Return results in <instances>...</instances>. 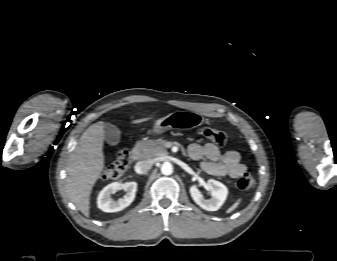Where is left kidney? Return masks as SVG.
<instances>
[{
    "mask_svg": "<svg viewBox=\"0 0 337 261\" xmlns=\"http://www.w3.org/2000/svg\"><path fill=\"white\" fill-rule=\"evenodd\" d=\"M207 187L211 192V199H205L196 185L191 186L190 195L194 202L207 211H216L224 203L228 195L227 187L219 181L209 179Z\"/></svg>",
    "mask_w": 337,
    "mask_h": 261,
    "instance_id": "left-kidney-1",
    "label": "left kidney"
}]
</instances>
